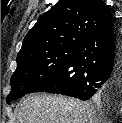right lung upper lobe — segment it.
Segmentation results:
<instances>
[{
  "label": "right lung upper lobe",
  "mask_w": 122,
  "mask_h": 123,
  "mask_svg": "<svg viewBox=\"0 0 122 123\" xmlns=\"http://www.w3.org/2000/svg\"><path fill=\"white\" fill-rule=\"evenodd\" d=\"M112 21L101 0H59L27 33L17 60L61 49H77L95 30Z\"/></svg>",
  "instance_id": "cb5924a9"
}]
</instances>
